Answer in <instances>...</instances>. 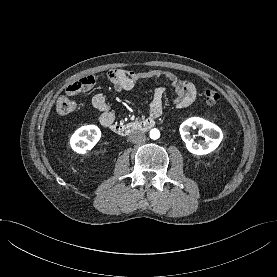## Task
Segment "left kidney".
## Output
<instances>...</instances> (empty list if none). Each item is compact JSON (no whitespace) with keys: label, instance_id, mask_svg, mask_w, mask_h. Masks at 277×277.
<instances>
[{"label":"left kidney","instance_id":"obj_1","mask_svg":"<svg viewBox=\"0 0 277 277\" xmlns=\"http://www.w3.org/2000/svg\"><path fill=\"white\" fill-rule=\"evenodd\" d=\"M200 128V132L203 133L205 141L202 144H197L190 136L189 129ZM180 134L182 140L186 144L187 150L195 155H205L214 151L222 141L223 133L221 129L203 118L192 117L185 120L180 125Z\"/></svg>","mask_w":277,"mask_h":277}]
</instances>
